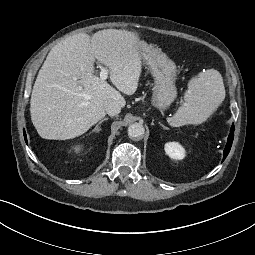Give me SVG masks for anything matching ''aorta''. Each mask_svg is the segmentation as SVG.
<instances>
[{
  "instance_id": "aorta-1",
  "label": "aorta",
  "mask_w": 255,
  "mask_h": 255,
  "mask_svg": "<svg viewBox=\"0 0 255 255\" xmlns=\"http://www.w3.org/2000/svg\"><path fill=\"white\" fill-rule=\"evenodd\" d=\"M144 133L145 128L140 123H134L128 127V136L132 139L140 138L141 136L144 135Z\"/></svg>"
}]
</instances>
